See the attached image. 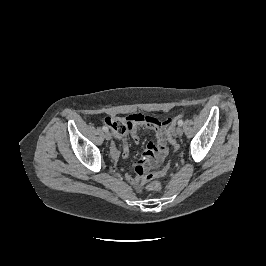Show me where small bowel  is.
Returning a JSON list of instances; mask_svg holds the SVG:
<instances>
[{
    "label": "small bowel",
    "mask_w": 266,
    "mask_h": 266,
    "mask_svg": "<svg viewBox=\"0 0 266 266\" xmlns=\"http://www.w3.org/2000/svg\"><path fill=\"white\" fill-rule=\"evenodd\" d=\"M105 121L116 137L125 138L127 135H131L135 141L139 140L138 128L140 126H146L155 130L156 142H148L145 145L141 158L134 167L133 174L125 175V178L132 185L140 189V179L143 174L148 170L156 168L168 152L166 132L168 127L174 124V118L169 117L161 120L142 114H131L126 117L107 118ZM114 154H117L116 150H114ZM128 155L129 148L127 143L124 142L122 156L123 158H127Z\"/></svg>",
    "instance_id": "obj_1"
}]
</instances>
